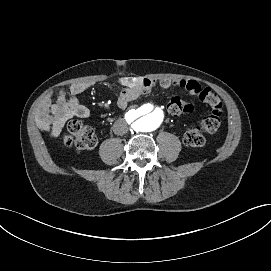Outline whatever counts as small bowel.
I'll list each match as a JSON object with an SVG mask.
<instances>
[{
  "instance_id": "c3829d8e",
  "label": "small bowel",
  "mask_w": 271,
  "mask_h": 271,
  "mask_svg": "<svg viewBox=\"0 0 271 271\" xmlns=\"http://www.w3.org/2000/svg\"><path fill=\"white\" fill-rule=\"evenodd\" d=\"M118 84L122 87L117 100L120 108H126L130 102L156 87L168 89L176 86L196 96L202 89L196 81L188 79L124 77L118 80ZM92 85L91 82H79L70 85L67 89L60 88L48 93L37 109L35 115L37 126L53 137L66 138L64 127L70 119L74 117L86 119L91 116L90 109L82 105L77 96ZM53 98L56 99L55 102H53Z\"/></svg>"
}]
</instances>
